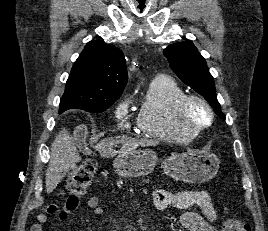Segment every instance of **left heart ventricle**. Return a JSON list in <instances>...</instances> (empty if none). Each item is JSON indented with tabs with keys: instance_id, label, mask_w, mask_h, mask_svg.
<instances>
[{
	"instance_id": "1",
	"label": "left heart ventricle",
	"mask_w": 268,
	"mask_h": 231,
	"mask_svg": "<svg viewBox=\"0 0 268 231\" xmlns=\"http://www.w3.org/2000/svg\"><path fill=\"white\" fill-rule=\"evenodd\" d=\"M208 115L206 110L198 104L190 106L187 119L191 125H197L207 121Z\"/></svg>"
}]
</instances>
